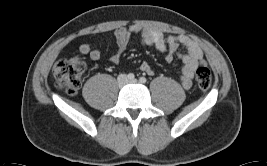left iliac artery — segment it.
I'll list each match as a JSON object with an SVG mask.
<instances>
[{
    "label": "left iliac artery",
    "instance_id": "obj_1",
    "mask_svg": "<svg viewBox=\"0 0 267 166\" xmlns=\"http://www.w3.org/2000/svg\"><path fill=\"white\" fill-rule=\"evenodd\" d=\"M139 81L140 83H146L147 80L145 77H140Z\"/></svg>",
    "mask_w": 267,
    "mask_h": 166
}]
</instances>
